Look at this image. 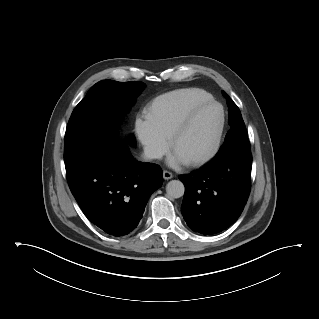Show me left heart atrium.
Segmentation results:
<instances>
[{
	"instance_id": "obj_1",
	"label": "left heart atrium",
	"mask_w": 319,
	"mask_h": 319,
	"mask_svg": "<svg viewBox=\"0 0 319 319\" xmlns=\"http://www.w3.org/2000/svg\"><path fill=\"white\" fill-rule=\"evenodd\" d=\"M168 163L172 167H178L180 165L185 164V161L180 156H178L176 153H173L170 156Z\"/></svg>"
}]
</instances>
